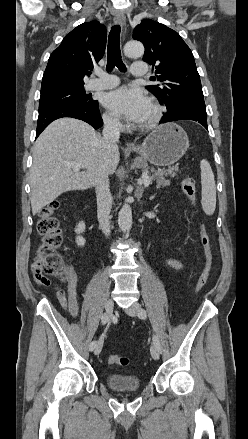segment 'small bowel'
<instances>
[{"mask_svg":"<svg viewBox=\"0 0 248 439\" xmlns=\"http://www.w3.org/2000/svg\"><path fill=\"white\" fill-rule=\"evenodd\" d=\"M165 265L173 270H182L185 265L181 261L176 259H167ZM31 271L35 282L38 285H49L50 282L47 278L43 277L40 272L39 266L34 262ZM56 296L61 307L68 312L73 318H77L79 315V307L77 302V276L71 265L67 267V288L66 290L56 287Z\"/></svg>","mask_w":248,"mask_h":439,"instance_id":"small-bowel-1","label":"small bowel"}]
</instances>
